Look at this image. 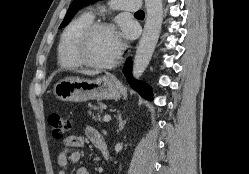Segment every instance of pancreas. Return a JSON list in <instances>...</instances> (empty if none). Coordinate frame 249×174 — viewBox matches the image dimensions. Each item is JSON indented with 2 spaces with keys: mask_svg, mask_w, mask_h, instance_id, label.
<instances>
[{
  "mask_svg": "<svg viewBox=\"0 0 249 174\" xmlns=\"http://www.w3.org/2000/svg\"><path fill=\"white\" fill-rule=\"evenodd\" d=\"M89 107H90V110L93 109L94 111H99V110L102 111L106 106H105V104L99 102V103H97V105L90 104ZM89 113L91 114V111ZM96 120H98V121L101 120V116L99 113H98V117L96 118Z\"/></svg>",
  "mask_w": 249,
  "mask_h": 174,
  "instance_id": "1",
  "label": "pancreas"
}]
</instances>
